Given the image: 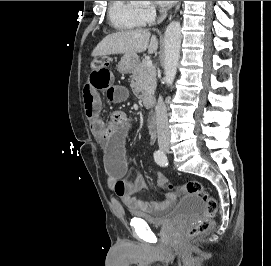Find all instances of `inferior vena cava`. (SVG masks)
I'll return each instance as SVG.
<instances>
[{
  "instance_id": "602c4592",
  "label": "inferior vena cava",
  "mask_w": 271,
  "mask_h": 266,
  "mask_svg": "<svg viewBox=\"0 0 271 266\" xmlns=\"http://www.w3.org/2000/svg\"><path fill=\"white\" fill-rule=\"evenodd\" d=\"M162 16L158 20V23L162 22L167 15L166 10L161 11ZM156 112V124H157V134H158V141H169L170 139V131L168 126V115H167V108L163 101V98L159 96L158 102L155 107Z\"/></svg>"
}]
</instances>
